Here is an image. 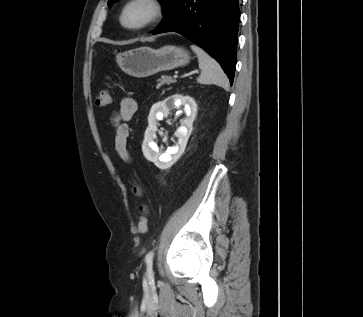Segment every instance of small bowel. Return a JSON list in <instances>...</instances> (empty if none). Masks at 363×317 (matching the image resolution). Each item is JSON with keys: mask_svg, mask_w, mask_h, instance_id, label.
Instances as JSON below:
<instances>
[{"mask_svg": "<svg viewBox=\"0 0 363 317\" xmlns=\"http://www.w3.org/2000/svg\"><path fill=\"white\" fill-rule=\"evenodd\" d=\"M137 110V102L131 97H125L121 100L118 112L112 117V125L114 128V146L119 157L126 161H130V154L127 149V141L130 129L127 124Z\"/></svg>", "mask_w": 363, "mask_h": 317, "instance_id": "obj_1", "label": "small bowel"}]
</instances>
